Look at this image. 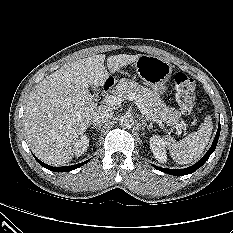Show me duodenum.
Wrapping results in <instances>:
<instances>
[{"label":"duodenum","mask_w":233,"mask_h":233,"mask_svg":"<svg viewBox=\"0 0 233 233\" xmlns=\"http://www.w3.org/2000/svg\"><path fill=\"white\" fill-rule=\"evenodd\" d=\"M112 86H113V80L107 79L102 86L103 91H105V92L109 91Z\"/></svg>","instance_id":"410a0bca"}]
</instances>
